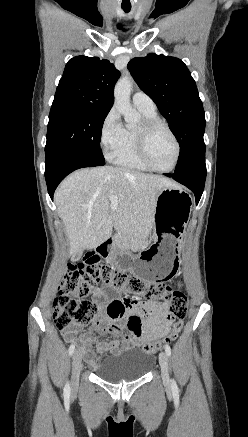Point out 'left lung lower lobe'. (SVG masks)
<instances>
[{
	"label": "left lung lower lobe",
	"mask_w": 248,
	"mask_h": 437,
	"mask_svg": "<svg viewBox=\"0 0 248 437\" xmlns=\"http://www.w3.org/2000/svg\"><path fill=\"white\" fill-rule=\"evenodd\" d=\"M166 176L172 177L192 190L195 194L196 204H198L204 190L206 179L205 155L198 157L188 168L180 172H174L173 174H166Z\"/></svg>",
	"instance_id": "left-lung-lower-lobe-1"
}]
</instances>
